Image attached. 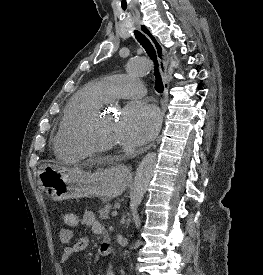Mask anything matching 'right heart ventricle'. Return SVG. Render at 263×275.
Instances as JSON below:
<instances>
[{"mask_svg":"<svg viewBox=\"0 0 263 275\" xmlns=\"http://www.w3.org/2000/svg\"><path fill=\"white\" fill-rule=\"evenodd\" d=\"M108 101L99 83H90L79 90L68 102L55 139L57 153L69 159H81L91 153L79 147L71 132L91 112Z\"/></svg>","mask_w":263,"mask_h":275,"instance_id":"right-heart-ventricle-1","label":"right heart ventricle"}]
</instances>
